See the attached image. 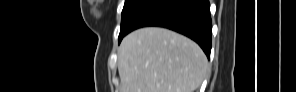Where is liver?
Returning <instances> with one entry per match:
<instances>
[{"mask_svg": "<svg viewBox=\"0 0 296 92\" xmlns=\"http://www.w3.org/2000/svg\"><path fill=\"white\" fill-rule=\"evenodd\" d=\"M207 70L194 41L164 28L133 31L118 49L121 92H194Z\"/></svg>", "mask_w": 296, "mask_h": 92, "instance_id": "liver-1", "label": "liver"}]
</instances>
